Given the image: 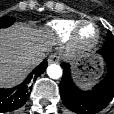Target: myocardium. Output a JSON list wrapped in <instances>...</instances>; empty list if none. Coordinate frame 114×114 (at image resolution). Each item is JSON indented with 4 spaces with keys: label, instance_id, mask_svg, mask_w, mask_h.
I'll list each match as a JSON object with an SVG mask.
<instances>
[{
    "label": "myocardium",
    "instance_id": "f54148a6",
    "mask_svg": "<svg viewBox=\"0 0 114 114\" xmlns=\"http://www.w3.org/2000/svg\"><path fill=\"white\" fill-rule=\"evenodd\" d=\"M86 25L92 26L93 30H94V34L90 38H84L81 34L82 29ZM71 40H72V43L75 46V48L78 49V50L90 49V48L94 47L97 44L98 40H99V30H98L97 26L94 23L88 22V21L83 22L75 28V30L72 34Z\"/></svg>",
    "mask_w": 114,
    "mask_h": 114
}]
</instances>
